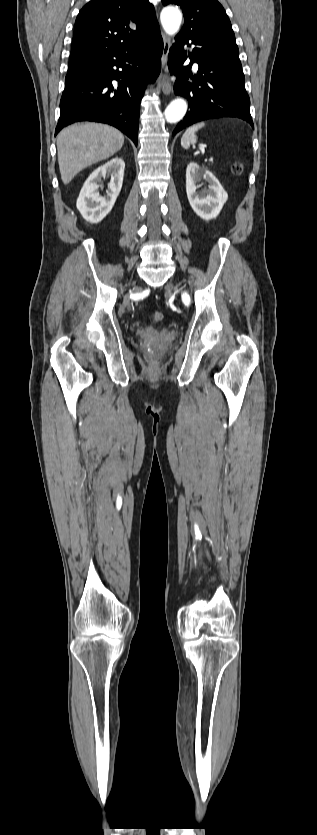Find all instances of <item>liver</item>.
Instances as JSON below:
<instances>
[{"mask_svg": "<svg viewBox=\"0 0 317 835\" xmlns=\"http://www.w3.org/2000/svg\"><path fill=\"white\" fill-rule=\"evenodd\" d=\"M124 144L116 128L98 123H78L63 129L57 137L61 179L68 184L82 169L117 153Z\"/></svg>", "mask_w": 317, "mask_h": 835, "instance_id": "1", "label": "liver"}]
</instances>
